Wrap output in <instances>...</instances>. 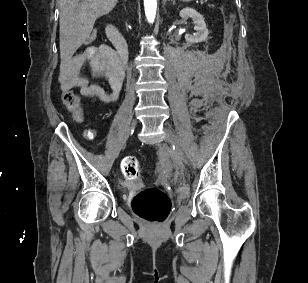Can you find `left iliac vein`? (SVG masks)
<instances>
[{
  "instance_id": "left-iliac-vein-1",
  "label": "left iliac vein",
  "mask_w": 308,
  "mask_h": 283,
  "mask_svg": "<svg viewBox=\"0 0 308 283\" xmlns=\"http://www.w3.org/2000/svg\"><path fill=\"white\" fill-rule=\"evenodd\" d=\"M164 134H165V141L170 145L175 146V152H174L175 159L177 163L180 166H182L184 163H186V157L181 148L177 145L173 133L169 129L164 128Z\"/></svg>"
}]
</instances>
